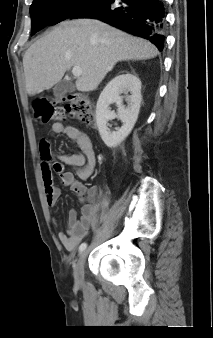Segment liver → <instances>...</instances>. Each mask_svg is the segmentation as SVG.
<instances>
[{
  "label": "liver",
  "mask_w": 213,
  "mask_h": 338,
  "mask_svg": "<svg viewBox=\"0 0 213 338\" xmlns=\"http://www.w3.org/2000/svg\"><path fill=\"white\" fill-rule=\"evenodd\" d=\"M149 41L133 37L93 19L62 22L26 51L23 67L28 95H36L61 81L79 66L76 80L81 92L95 90L119 61L147 60L158 55Z\"/></svg>",
  "instance_id": "6515ba94"
}]
</instances>
